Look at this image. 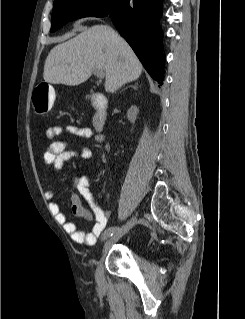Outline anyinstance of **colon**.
<instances>
[{"label":"colon","instance_id":"obj_1","mask_svg":"<svg viewBox=\"0 0 245 319\" xmlns=\"http://www.w3.org/2000/svg\"><path fill=\"white\" fill-rule=\"evenodd\" d=\"M55 96V90L51 85L47 83L37 85L32 96L33 107L36 114L41 116L48 114L53 106Z\"/></svg>","mask_w":245,"mask_h":319}]
</instances>
